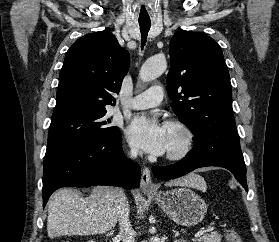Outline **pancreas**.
<instances>
[{
	"label": "pancreas",
	"mask_w": 279,
	"mask_h": 242,
	"mask_svg": "<svg viewBox=\"0 0 279 242\" xmlns=\"http://www.w3.org/2000/svg\"><path fill=\"white\" fill-rule=\"evenodd\" d=\"M221 235L214 231L197 239V242H221Z\"/></svg>",
	"instance_id": "1"
}]
</instances>
